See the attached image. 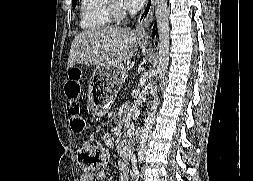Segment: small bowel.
Masks as SVG:
<instances>
[{"label": "small bowel", "mask_w": 253, "mask_h": 181, "mask_svg": "<svg viewBox=\"0 0 253 181\" xmlns=\"http://www.w3.org/2000/svg\"><path fill=\"white\" fill-rule=\"evenodd\" d=\"M104 142L107 146H113L115 143V136L112 133H106L104 135ZM117 181H128L129 179V169H128V154L124 151L121 155L117 163ZM105 172H100L95 176L90 175H82L80 177V181H94V180H102L105 178Z\"/></svg>", "instance_id": "c3829d8e"}]
</instances>
